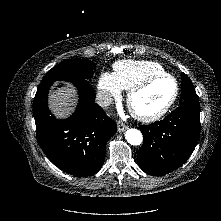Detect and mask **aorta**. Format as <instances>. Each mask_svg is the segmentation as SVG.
Segmentation results:
<instances>
[{
	"label": "aorta",
	"mask_w": 221,
	"mask_h": 221,
	"mask_svg": "<svg viewBox=\"0 0 221 221\" xmlns=\"http://www.w3.org/2000/svg\"><path fill=\"white\" fill-rule=\"evenodd\" d=\"M125 138L129 144L134 146L140 145L143 141L142 133L135 128L128 129L125 133Z\"/></svg>",
	"instance_id": "aorta-1"
}]
</instances>
